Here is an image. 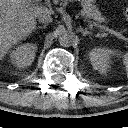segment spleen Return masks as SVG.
Returning <instances> with one entry per match:
<instances>
[{
    "label": "spleen",
    "instance_id": "spleen-1",
    "mask_svg": "<svg viewBox=\"0 0 128 128\" xmlns=\"http://www.w3.org/2000/svg\"><path fill=\"white\" fill-rule=\"evenodd\" d=\"M106 54L108 56H111V55H116V56H120L121 53L116 51V50H106ZM123 56V62L125 64V67H126V74H127V78H128V53H125Z\"/></svg>",
    "mask_w": 128,
    "mask_h": 128
}]
</instances>
